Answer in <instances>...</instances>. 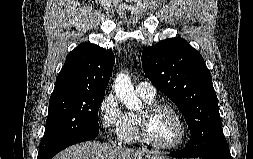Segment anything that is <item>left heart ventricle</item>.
<instances>
[{
	"label": "left heart ventricle",
	"instance_id": "obj_1",
	"mask_svg": "<svg viewBox=\"0 0 253 159\" xmlns=\"http://www.w3.org/2000/svg\"><path fill=\"white\" fill-rule=\"evenodd\" d=\"M149 131L153 141L158 144L169 145L178 138L181 126L173 112L161 109L151 116Z\"/></svg>",
	"mask_w": 253,
	"mask_h": 159
}]
</instances>
